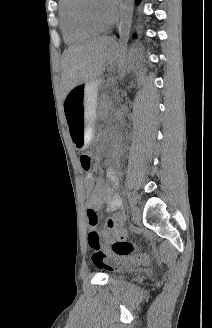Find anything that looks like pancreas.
<instances>
[{"label": "pancreas", "mask_w": 212, "mask_h": 328, "mask_svg": "<svg viewBox=\"0 0 212 328\" xmlns=\"http://www.w3.org/2000/svg\"><path fill=\"white\" fill-rule=\"evenodd\" d=\"M109 106L110 105H109L108 100L106 98H104L100 103V108H102V109H108Z\"/></svg>", "instance_id": "pancreas-1"}]
</instances>
